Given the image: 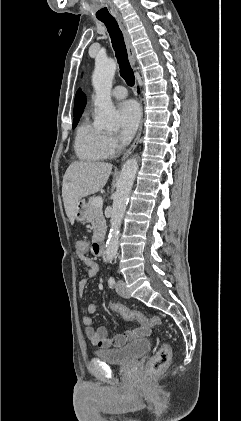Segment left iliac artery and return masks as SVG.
<instances>
[{"instance_id": "1", "label": "left iliac artery", "mask_w": 241, "mask_h": 421, "mask_svg": "<svg viewBox=\"0 0 241 421\" xmlns=\"http://www.w3.org/2000/svg\"><path fill=\"white\" fill-rule=\"evenodd\" d=\"M108 284L110 287H113L115 285V279L113 277H110L108 279Z\"/></svg>"}]
</instances>
